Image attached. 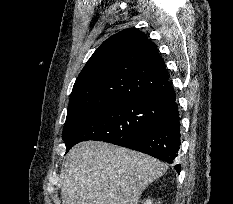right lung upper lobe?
<instances>
[{"instance_id":"obj_1","label":"right lung upper lobe","mask_w":233,"mask_h":204,"mask_svg":"<svg viewBox=\"0 0 233 204\" xmlns=\"http://www.w3.org/2000/svg\"><path fill=\"white\" fill-rule=\"evenodd\" d=\"M170 86L156 45L137 29L122 30L99 46L77 77L65 126L102 106L153 97Z\"/></svg>"}]
</instances>
